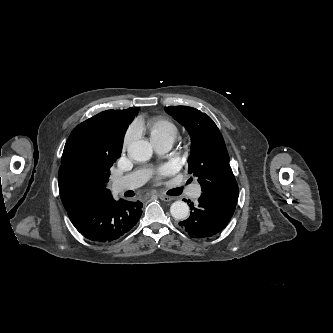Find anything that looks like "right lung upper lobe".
<instances>
[{
  "instance_id": "1",
  "label": "right lung upper lobe",
  "mask_w": 333,
  "mask_h": 333,
  "mask_svg": "<svg viewBox=\"0 0 333 333\" xmlns=\"http://www.w3.org/2000/svg\"><path fill=\"white\" fill-rule=\"evenodd\" d=\"M136 110L129 108L126 109V112L133 114ZM84 122L76 126L71 132L64 147L59 169L60 197L67 211L81 209L112 198L111 192L106 188L108 178L83 173L73 163L78 148L91 146L83 141Z\"/></svg>"
}]
</instances>
